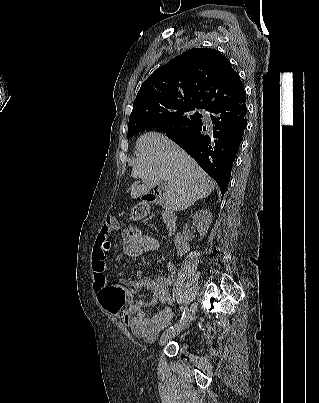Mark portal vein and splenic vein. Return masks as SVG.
<instances>
[{
	"mask_svg": "<svg viewBox=\"0 0 319 403\" xmlns=\"http://www.w3.org/2000/svg\"><path fill=\"white\" fill-rule=\"evenodd\" d=\"M161 187L164 188V189H166V183L162 182V183H161Z\"/></svg>",
	"mask_w": 319,
	"mask_h": 403,
	"instance_id": "18ae733b",
	"label": "portal vein and splenic vein"
}]
</instances>
